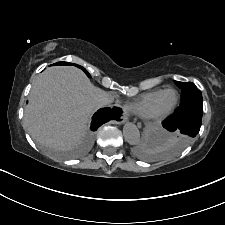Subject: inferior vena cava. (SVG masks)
<instances>
[{
  "mask_svg": "<svg viewBox=\"0 0 225 225\" xmlns=\"http://www.w3.org/2000/svg\"><path fill=\"white\" fill-rule=\"evenodd\" d=\"M113 101H114V99H113V97H111V96H102V97H99V98L96 100V107H97V108L107 107V106H109Z\"/></svg>",
  "mask_w": 225,
  "mask_h": 225,
  "instance_id": "inferior-vena-cava-1",
  "label": "inferior vena cava"
}]
</instances>
